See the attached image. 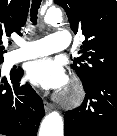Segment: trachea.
I'll list each match as a JSON object with an SVG mask.
<instances>
[{"label": "trachea", "mask_w": 117, "mask_h": 136, "mask_svg": "<svg viewBox=\"0 0 117 136\" xmlns=\"http://www.w3.org/2000/svg\"><path fill=\"white\" fill-rule=\"evenodd\" d=\"M42 0H32L31 9H30V16H31V22L33 24L37 23V15L38 10L40 8Z\"/></svg>", "instance_id": "1"}]
</instances>
